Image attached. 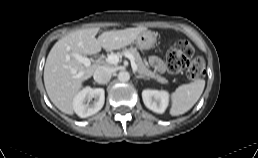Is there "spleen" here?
Returning <instances> with one entry per match:
<instances>
[{"label": "spleen", "instance_id": "1", "mask_svg": "<svg viewBox=\"0 0 258 158\" xmlns=\"http://www.w3.org/2000/svg\"><path fill=\"white\" fill-rule=\"evenodd\" d=\"M205 87V80L196 79L189 84L179 86L172 93L170 114L178 116L189 111L199 100Z\"/></svg>", "mask_w": 258, "mask_h": 158}]
</instances>
